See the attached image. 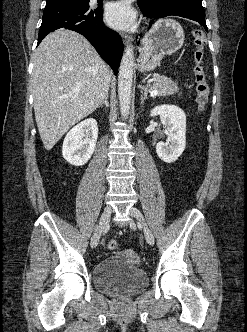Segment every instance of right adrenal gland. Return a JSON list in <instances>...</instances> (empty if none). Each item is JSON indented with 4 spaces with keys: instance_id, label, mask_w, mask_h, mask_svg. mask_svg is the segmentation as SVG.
Returning <instances> with one entry per match:
<instances>
[{
    "instance_id": "obj_1",
    "label": "right adrenal gland",
    "mask_w": 247,
    "mask_h": 332,
    "mask_svg": "<svg viewBox=\"0 0 247 332\" xmlns=\"http://www.w3.org/2000/svg\"><path fill=\"white\" fill-rule=\"evenodd\" d=\"M108 94L105 96V98H104V100L102 101V103L99 105V108L100 107H103V105H105L106 107H108L109 106V104H108Z\"/></svg>"
}]
</instances>
